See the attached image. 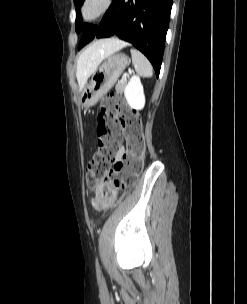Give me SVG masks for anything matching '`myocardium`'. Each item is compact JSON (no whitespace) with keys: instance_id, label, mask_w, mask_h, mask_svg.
Listing matches in <instances>:
<instances>
[{"instance_id":"f54148a6","label":"myocardium","mask_w":247,"mask_h":304,"mask_svg":"<svg viewBox=\"0 0 247 304\" xmlns=\"http://www.w3.org/2000/svg\"><path fill=\"white\" fill-rule=\"evenodd\" d=\"M113 0H84L80 7L81 20L85 24L102 18L110 9Z\"/></svg>"}]
</instances>
